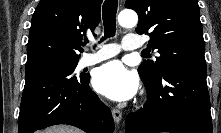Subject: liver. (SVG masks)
Here are the masks:
<instances>
[{"mask_svg":"<svg viewBox=\"0 0 221 133\" xmlns=\"http://www.w3.org/2000/svg\"><path fill=\"white\" fill-rule=\"evenodd\" d=\"M43 133H82V132L78 129L66 125H57L44 130Z\"/></svg>","mask_w":221,"mask_h":133,"instance_id":"6515ba94","label":"liver"}]
</instances>
